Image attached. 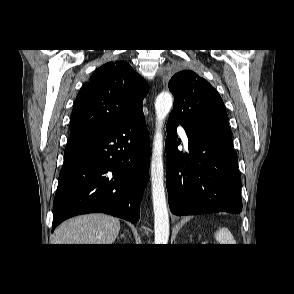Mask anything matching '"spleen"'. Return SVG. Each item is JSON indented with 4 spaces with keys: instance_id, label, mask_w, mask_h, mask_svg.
Returning <instances> with one entry per match:
<instances>
[{
    "instance_id": "spleen-1",
    "label": "spleen",
    "mask_w": 294,
    "mask_h": 294,
    "mask_svg": "<svg viewBox=\"0 0 294 294\" xmlns=\"http://www.w3.org/2000/svg\"><path fill=\"white\" fill-rule=\"evenodd\" d=\"M215 239L220 244H235V240L227 228H219L215 233Z\"/></svg>"
}]
</instances>
